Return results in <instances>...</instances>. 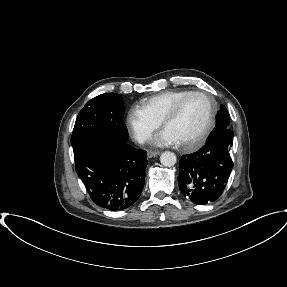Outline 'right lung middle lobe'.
<instances>
[{"label": "right lung middle lobe", "instance_id": "right-lung-middle-lobe-1", "mask_svg": "<svg viewBox=\"0 0 287 287\" xmlns=\"http://www.w3.org/2000/svg\"><path fill=\"white\" fill-rule=\"evenodd\" d=\"M124 113L125 107L119 94L105 93L88 101L74 125L71 137L73 151L97 139L128 141Z\"/></svg>", "mask_w": 287, "mask_h": 287}]
</instances>
